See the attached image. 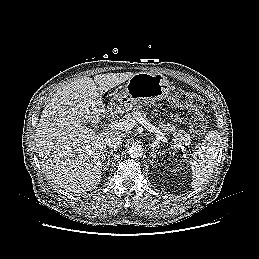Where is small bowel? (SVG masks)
<instances>
[{"instance_id":"1","label":"small bowel","mask_w":259,"mask_h":259,"mask_svg":"<svg viewBox=\"0 0 259 259\" xmlns=\"http://www.w3.org/2000/svg\"><path fill=\"white\" fill-rule=\"evenodd\" d=\"M170 116L173 120H178L179 118L178 114H174V113H171Z\"/></svg>"}]
</instances>
